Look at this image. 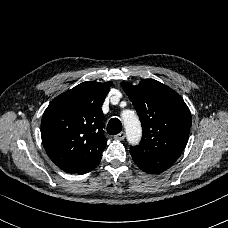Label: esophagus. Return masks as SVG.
<instances>
[{
  "mask_svg": "<svg viewBox=\"0 0 228 228\" xmlns=\"http://www.w3.org/2000/svg\"><path fill=\"white\" fill-rule=\"evenodd\" d=\"M114 138L116 140H123L125 138V132L118 133Z\"/></svg>",
  "mask_w": 228,
  "mask_h": 228,
  "instance_id": "34e87169",
  "label": "esophagus"
}]
</instances>
